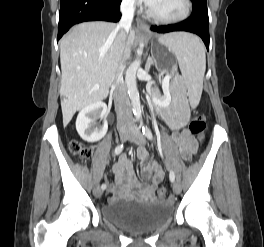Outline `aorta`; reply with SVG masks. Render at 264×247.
Wrapping results in <instances>:
<instances>
[{"label": "aorta", "mask_w": 264, "mask_h": 247, "mask_svg": "<svg viewBox=\"0 0 264 247\" xmlns=\"http://www.w3.org/2000/svg\"><path fill=\"white\" fill-rule=\"evenodd\" d=\"M140 59H136L128 67L125 75V83L131 100L134 116L139 119L142 116L139 92L136 83V73L140 67Z\"/></svg>", "instance_id": "1"}]
</instances>
